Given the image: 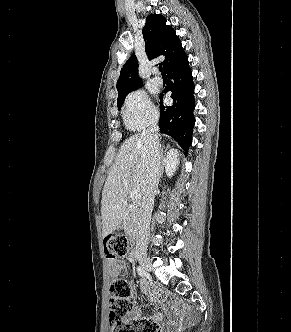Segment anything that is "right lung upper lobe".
<instances>
[{"instance_id": "right-lung-upper-lobe-1", "label": "right lung upper lobe", "mask_w": 291, "mask_h": 332, "mask_svg": "<svg viewBox=\"0 0 291 332\" xmlns=\"http://www.w3.org/2000/svg\"><path fill=\"white\" fill-rule=\"evenodd\" d=\"M146 43V54L149 60L164 55L163 68L167 71L170 67L186 57L182 44L177 37L175 30L166 25V19L160 14H150L142 30ZM142 80L138 76V61L133 54L123 65L117 81L118 99L141 87Z\"/></svg>"}]
</instances>
